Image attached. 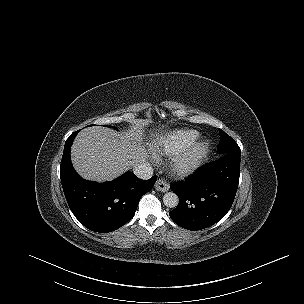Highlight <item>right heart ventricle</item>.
<instances>
[{
    "instance_id": "e07e8e85",
    "label": "right heart ventricle",
    "mask_w": 304,
    "mask_h": 304,
    "mask_svg": "<svg viewBox=\"0 0 304 304\" xmlns=\"http://www.w3.org/2000/svg\"><path fill=\"white\" fill-rule=\"evenodd\" d=\"M199 138L195 130H175L162 135L154 146V151L166 156H175L192 146Z\"/></svg>"
}]
</instances>
